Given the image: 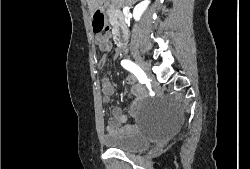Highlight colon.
<instances>
[{
  "instance_id": "colon-1",
  "label": "colon",
  "mask_w": 250,
  "mask_h": 169,
  "mask_svg": "<svg viewBox=\"0 0 250 169\" xmlns=\"http://www.w3.org/2000/svg\"><path fill=\"white\" fill-rule=\"evenodd\" d=\"M92 28H93V32L96 34L109 30V27L106 26L105 24L103 14L99 11H97L94 14Z\"/></svg>"
}]
</instances>
